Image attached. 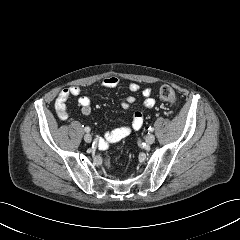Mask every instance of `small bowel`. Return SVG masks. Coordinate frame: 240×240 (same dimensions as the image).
Returning a JSON list of instances; mask_svg holds the SVG:
<instances>
[{"instance_id":"small-bowel-1","label":"small bowel","mask_w":240,"mask_h":240,"mask_svg":"<svg viewBox=\"0 0 240 240\" xmlns=\"http://www.w3.org/2000/svg\"><path fill=\"white\" fill-rule=\"evenodd\" d=\"M120 81L115 76H109L102 80L101 87L103 89H113L119 85ZM129 90L132 92H137L140 90V86L136 82H131L128 86ZM152 90L146 87L142 90V96L144 98L143 106L146 109H150L155 105V100L151 97ZM82 94V88L79 86H71L63 89L55 101V111L60 119H67L68 112L66 110L65 102L70 96H79ZM136 102L133 96H128L123 99L121 106L128 110L131 105ZM79 104L81 107V112L83 115L88 116L92 111V99L88 96H81L79 98ZM144 124V113L143 110H137L133 114L131 123L126 126L118 127L114 130L105 132L102 137L98 139L99 146L101 148H106L109 144L119 142L124 139L132 132L138 131L142 128Z\"/></svg>"}]
</instances>
